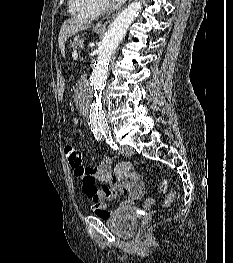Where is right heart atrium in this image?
Wrapping results in <instances>:
<instances>
[{
	"label": "right heart atrium",
	"mask_w": 233,
	"mask_h": 263,
	"mask_svg": "<svg viewBox=\"0 0 233 263\" xmlns=\"http://www.w3.org/2000/svg\"><path fill=\"white\" fill-rule=\"evenodd\" d=\"M99 3H100L101 8L106 7L108 4V0H99Z\"/></svg>",
	"instance_id": "d8ad5b80"
}]
</instances>
